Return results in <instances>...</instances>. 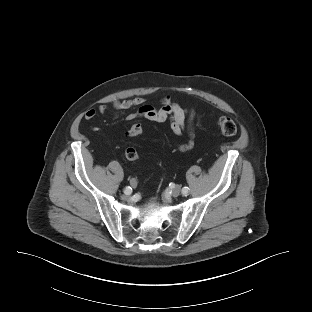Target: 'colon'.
I'll list each match as a JSON object with an SVG mask.
<instances>
[{
    "label": "colon",
    "mask_w": 312,
    "mask_h": 312,
    "mask_svg": "<svg viewBox=\"0 0 312 312\" xmlns=\"http://www.w3.org/2000/svg\"><path fill=\"white\" fill-rule=\"evenodd\" d=\"M217 125L221 133L225 136H233L237 133L236 123L229 117H220L217 120ZM142 131L143 127L140 123H133L128 130V134L130 136H138ZM125 156L128 160L134 161L138 159V152L135 148L129 147L125 151Z\"/></svg>",
    "instance_id": "obj_1"
}]
</instances>
